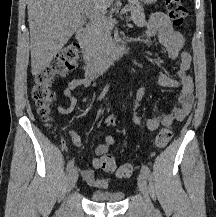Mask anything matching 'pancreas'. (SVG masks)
I'll use <instances>...</instances> for the list:
<instances>
[{"instance_id": "pancreas-1", "label": "pancreas", "mask_w": 216, "mask_h": 217, "mask_svg": "<svg viewBox=\"0 0 216 217\" xmlns=\"http://www.w3.org/2000/svg\"><path fill=\"white\" fill-rule=\"evenodd\" d=\"M128 7L131 11L133 22L138 27L146 26V20L142 5L138 0H128ZM114 20L111 17H104L101 21H93L87 27V39L89 47L93 52L102 57L112 47L111 29Z\"/></svg>"}]
</instances>
